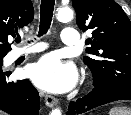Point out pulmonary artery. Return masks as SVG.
<instances>
[{"instance_id":"1","label":"pulmonary artery","mask_w":131,"mask_h":115,"mask_svg":"<svg viewBox=\"0 0 131 115\" xmlns=\"http://www.w3.org/2000/svg\"><path fill=\"white\" fill-rule=\"evenodd\" d=\"M61 39L63 44L69 46H77L79 44V33L75 28L66 27L62 30ZM44 47L42 45H33L26 50H18L14 53V57L18 58L19 56L31 52L41 51Z\"/></svg>"}]
</instances>
